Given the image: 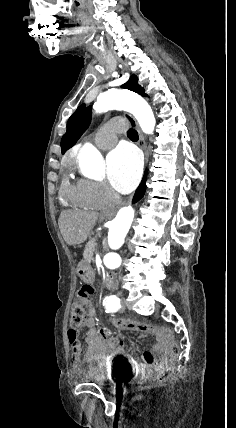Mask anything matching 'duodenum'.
<instances>
[{"label": "duodenum", "mask_w": 236, "mask_h": 428, "mask_svg": "<svg viewBox=\"0 0 236 428\" xmlns=\"http://www.w3.org/2000/svg\"><path fill=\"white\" fill-rule=\"evenodd\" d=\"M117 284V275L115 273H107L105 276V287L108 290L114 289Z\"/></svg>", "instance_id": "1"}]
</instances>
